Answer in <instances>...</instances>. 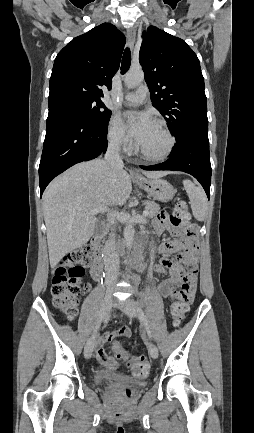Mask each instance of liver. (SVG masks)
Returning <instances> with one entry per match:
<instances>
[{
  "label": "liver",
  "mask_w": 254,
  "mask_h": 433,
  "mask_svg": "<svg viewBox=\"0 0 254 433\" xmlns=\"http://www.w3.org/2000/svg\"><path fill=\"white\" fill-rule=\"evenodd\" d=\"M168 173L143 171L151 179ZM131 191L129 174L123 168L112 169L102 159L79 163L56 178L43 195L51 268L89 241L97 223L92 209L123 205Z\"/></svg>",
  "instance_id": "liver-1"
}]
</instances>
